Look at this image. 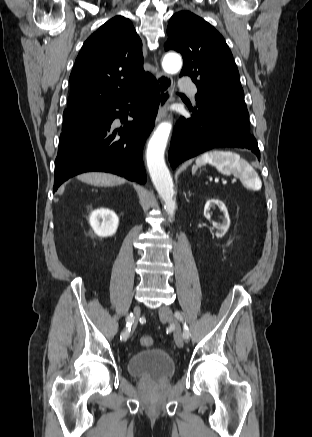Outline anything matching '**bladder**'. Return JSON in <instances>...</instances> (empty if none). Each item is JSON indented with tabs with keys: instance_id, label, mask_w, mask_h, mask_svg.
Listing matches in <instances>:
<instances>
[{
	"instance_id": "1",
	"label": "bladder",
	"mask_w": 312,
	"mask_h": 437,
	"mask_svg": "<svg viewBox=\"0 0 312 437\" xmlns=\"http://www.w3.org/2000/svg\"><path fill=\"white\" fill-rule=\"evenodd\" d=\"M127 370L137 378L168 379L175 373V363L165 350L149 348L133 354L128 359Z\"/></svg>"
}]
</instances>
